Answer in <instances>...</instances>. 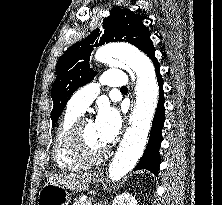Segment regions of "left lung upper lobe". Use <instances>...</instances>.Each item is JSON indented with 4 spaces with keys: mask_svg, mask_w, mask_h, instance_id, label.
I'll use <instances>...</instances> for the list:
<instances>
[{
    "mask_svg": "<svg viewBox=\"0 0 222 205\" xmlns=\"http://www.w3.org/2000/svg\"><path fill=\"white\" fill-rule=\"evenodd\" d=\"M142 21V16L130 9L113 8L110 16L103 21V30H94L86 39L64 52L57 62V77L51 89L53 126L71 95L96 75L89 64L93 48L106 42L125 41L141 49L145 39L150 36L149 28Z\"/></svg>",
    "mask_w": 222,
    "mask_h": 205,
    "instance_id": "1",
    "label": "left lung upper lobe"
}]
</instances>
